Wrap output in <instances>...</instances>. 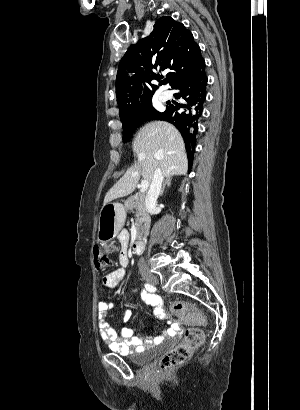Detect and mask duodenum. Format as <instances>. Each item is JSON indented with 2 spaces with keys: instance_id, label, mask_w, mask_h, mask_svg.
Segmentation results:
<instances>
[{
  "instance_id": "1",
  "label": "duodenum",
  "mask_w": 300,
  "mask_h": 410,
  "mask_svg": "<svg viewBox=\"0 0 300 410\" xmlns=\"http://www.w3.org/2000/svg\"><path fill=\"white\" fill-rule=\"evenodd\" d=\"M144 239L143 238H138L135 240L132 244V249L135 253H141L144 250Z\"/></svg>"
}]
</instances>
